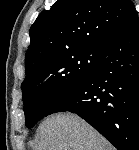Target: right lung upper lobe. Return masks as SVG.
<instances>
[{
  "instance_id": "1",
  "label": "right lung upper lobe",
  "mask_w": 139,
  "mask_h": 150,
  "mask_svg": "<svg viewBox=\"0 0 139 150\" xmlns=\"http://www.w3.org/2000/svg\"><path fill=\"white\" fill-rule=\"evenodd\" d=\"M135 14L131 0H57L30 28L26 75L57 55L103 49Z\"/></svg>"
}]
</instances>
